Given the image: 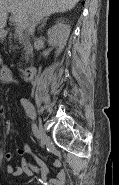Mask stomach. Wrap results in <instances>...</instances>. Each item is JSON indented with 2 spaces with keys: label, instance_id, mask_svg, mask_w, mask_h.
Listing matches in <instances>:
<instances>
[{
  "label": "stomach",
  "instance_id": "0dacf381",
  "mask_svg": "<svg viewBox=\"0 0 119 185\" xmlns=\"http://www.w3.org/2000/svg\"><path fill=\"white\" fill-rule=\"evenodd\" d=\"M6 36V32L3 29H0V39H3Z\"/></svg>",
  "mask_w": 119,
  "mask_h": 185
}]
</instances>
